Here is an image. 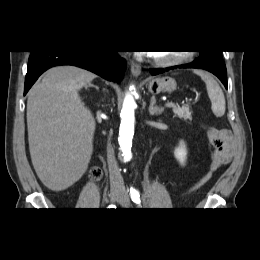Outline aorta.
I'll return each mask as SVG.
<instances>
[{
	"instance_id": "obj_1",
	"label": "aorta",
	"mask_w": 260,
	"mask_h": 260,
	"mask_svg": "<svg viewBox=\"0 0 260 260\" xmlns=\"http://www.w3.org/2000/svg\"><path fill=\"white\" fill-rule=\"evenodd\" d=\"M133 89L134 87L131 86L130 92L126 94L120 113L121 123L118 140L122 150V157L125 162L130 161L132 158L131 147L134 135V111L136 108L132 92Z\"/></svg>"
}]
</instances>
